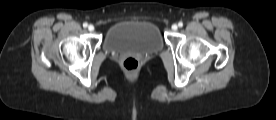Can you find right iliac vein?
<instances>
[{
  "label": "right iliac vein",
  "instance_id": "right-iliac-vein-1",
  "mask_svg": "<svg viewBox=\"0 0 276 120\" xmlns=\"http://www.w3.org/2000/svg\"><path fill=\"white\" fill-rule=\"evenodd\" d=\"M94 29H95V28H94V26H93V25H89V26H88V30H89L90 32H93V31H94Z\"/></svg>",
  "mask_w": 276,
  "mask_h": 120
}]
</instances>
